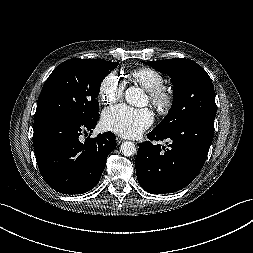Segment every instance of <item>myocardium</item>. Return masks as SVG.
Wrapping results in <instances>:
<instances>
[{"label": "myocardium", "mask_w": 253, "mask_h": 253, "mask_svg": "<svg viewBox=\"0 0 253 253\" xmlns=\"http://www.w3.org/2000/svg\"><path fill=\"white\" fill-rule=\"evenodd\" d=\"M148 94L150 102L161 114H167L172 109L174 96L166 86L160 85L148 91Z\"/></svg>", "instance_id": "obj_1"}]
</instances>
